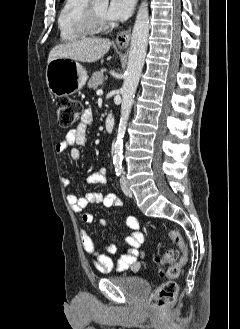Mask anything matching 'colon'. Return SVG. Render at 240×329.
<instances>
[{
  "label": "colon",
  "mask_w": 240,
  "mask_h": 329,
  "mask_svg": "<svg viewBox=\"0 0 240 329\" xmlns=\"http://www.w3.org/2000/svg\"><path fill=\"white\" fill-rule=\"evenodd\" d=\"M82 112L80 103L75 100L63 97L57 101L58 123L63 128L73 126ZM169 236L178 249L168 250L156 260L159 265H169L166 270L162 271L165 279L156 286L149 296V304L156 309L167 308L175 302L178 292L176 279L188 261L187 248L180 232L172 230Z\"/></svg>",
  "instance_id": "1"
}]
</instances>
